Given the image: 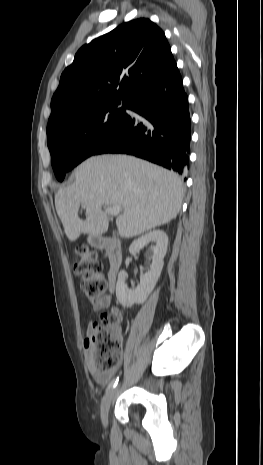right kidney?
I'll list each match as a JSON object with an SVG mask.
<instances>
[{
	"label": "right kidney",
	"instance_id": "ca27d5eb",
	"mask_svg": "<svg viewBox=\"0 0 263 465\" xmlns=\"http://www.w3.org/2000/svg\"><path fill=\"white\" fill-rule=\"evenodd\" d=\"M149 243H156L152 246V264L150 270L140 277V284L135 289H128L125 283L127 273L122 270L118 274L116 285V297L123 307H131L134 304H142L146 301L150 293L153 291L164 265V257L167 252L168 236L162 230H153L144 234L135 240L129 247V252L132 255L139 253L141 249Z\"/></svg>",
	"mask_w": 263,
	"mask_h": 465
}]
</instances>
